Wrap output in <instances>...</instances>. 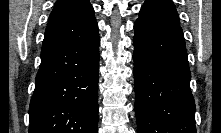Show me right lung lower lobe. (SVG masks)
<instances>
[{
	"mask_svg": "<svg viewBox=\"0 0 221 133\" xmlns=\"http://www.w3.org/2000/svg\"><path fill=\"white\" fill-rule=\"evenodd\" d=\"M99 43L42 48L29 133H97Z\"/></svg>",
	"mask_w": 221,
	"mask_h": 133,
	"instance_id": "1",
	"label": "right lung lower lobe"
}]
</instances>
